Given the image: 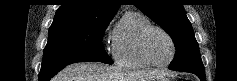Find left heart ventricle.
I'll return each mask as SVG.
<instances>
[{
  "instance_id": "1",
  "label": "left heart ventricle",
  "mask_w": 237,
  "mask_h": 81,
  "mask_svg": "<svg viewBox=\"0 0 237 81\" xmlns=\"http://www.w3.org/2000/svg\"><path fill=\"white\" fill-rule=\"evenodd\" d=\"M148 53L156 63L167 62L172 55V46L169 39L159 31H153L147 40Z\"/></svg>"
}]
</instances>
